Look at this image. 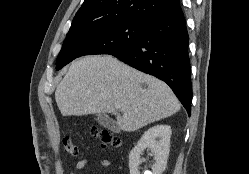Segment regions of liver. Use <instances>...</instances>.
<instances>
[{
    "label": "liver",
    "instance_id": "liver-1",
    "mask_svg": "<svg viewBox=\"0 0 249 174\" xmlns=\"http://www.w3.org/2000/svg\"><path fill=\"white\" fill-rule=\"evenodd\" d=\"M55 99L63 116L112 113L126 132L180 110L166 83L110 55L86 56L73 62L57 86Z\"/></svg>",
    "mask_w": 249,
    "mask_h": 174
}]
</instances>
